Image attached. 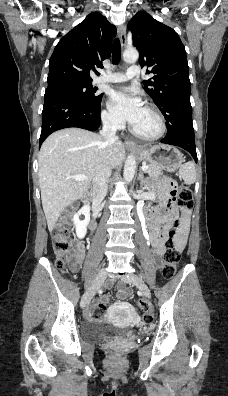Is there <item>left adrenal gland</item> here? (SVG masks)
I'll return each mask as SVG.
<instances>
[{
    "instance_id": "1",
    "label": "left adrenal gland",
    "mask_w": 228,
    "mask_h": 396,
    "mask_svg": "<svg viewBox=\"0 0 228 396\" xmlns=\"http://www.w3.org/2000/svg\"><path fill=\"white\" fill-rule=\"evenodd\" d=\"M138 180L140 181V186H144L146 180L144 178V174L143 172L140 170L139 174H138Z\"/></svg>"
}]
</instances>
